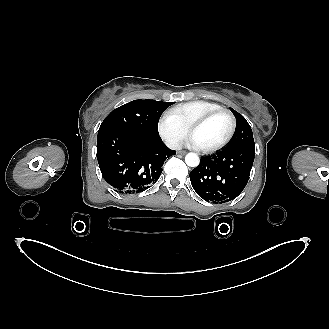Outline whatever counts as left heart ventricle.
Listing matches in <instances>:
<instances>
[{"label": "left heart ventricle", "instance_id": "b2bd125f", "mask_svg": "<svg viewBox=\"0 0 329 329\" xmlns=\"http://www.w3.org/2000/svg\"><path fill=\"white\" fill-rule=\"evenodd\" d=\"M230 130V119L225 114H220L202 126L196 128L193 137L200 148H208L225 139Z\"/></svg>", "mask_w": 329, "mask_h": 329}]
</instances>
